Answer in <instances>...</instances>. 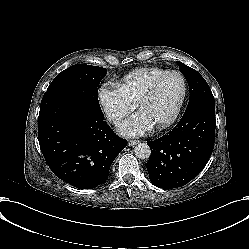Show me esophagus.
Masks as SVG:
<instances>
[{
    "label": "esophagus",
    "instance_id": "esophagus-1",
    "mask_svg": "<svg viewBox=\"0 0 249 249\" xmlns=\"http://www.w3.org/2000/svg\"><path fill=\"white\" fill-rule=\"evenodd\" d=\"M140 141L139 140H130L129 141V146H134L135 144L139 143Z\"/></svg>",
    "mask_w": 249,
    "mask_h": 249
}]
</instances>
